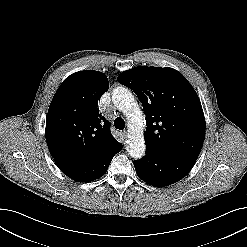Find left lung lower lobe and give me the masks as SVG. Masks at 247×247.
Returning a JSON list of instances; mask_svg holds the SVG:
<instances>
[{
  "label": "left lung lower lobe",
  "mask_w": 247,
  "mask_h": 247,
  "mask_svg": "<svg viewBox=\"0 0 247 247\" xmlns=\"http://www.w3.org/2000/svg\"><path fill=\"white\" fill-rule=\"evenodd\" d=\"M196 160L160 154L146 149V155L134 161L140 179L154 186H167L185 177Z\"/></svg>",
  "instance_id": "obj_1"
}]
</instances>
